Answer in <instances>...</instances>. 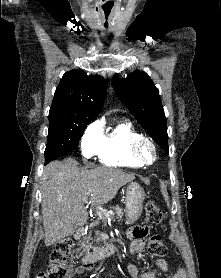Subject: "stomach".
Returning <instances> with one entry per match:
<instances>
[{
  "label": "stomach",
  "mask_w": 221,
  "mask_h": 278,
  "mask_svg": "<svg viewBox=\"0 0 221 278\" xmlns=\"http://www.w3.org/2000/svg\"><path fill=\"white\" fill-rule=\"evenodd\" d=\"M145 199L144 189L135 182H131L126 190V223L133 224L141 216L143 210V201Z\"/></svg>",
  "instance_id": "stomach-1"
}]
</instances>
